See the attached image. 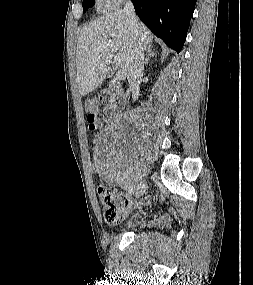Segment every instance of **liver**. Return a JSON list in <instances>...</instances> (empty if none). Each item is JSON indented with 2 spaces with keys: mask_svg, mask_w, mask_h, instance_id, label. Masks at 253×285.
<instances>
[{
  "mask_svg": "<svg viewBox=\"0 0 253 285\" xmlns=\"http://www.w3.org/2000/svg\"><path fill=\"white\" fill-rule=\"evenodd\" d=\"M139 23L141 47L146 49L151 45L153 35L142 22ZM136 46L137 38L124 10H115L84 26L76 51L79 93L85 96L100 85L113 55H118L121 60L115 79H125Z\"/></svg>",
  "mask_w": 253,
  "mask_h": 285,
  "instance_id": "obj_1",
  "label": "liver"
}]
</instances>
